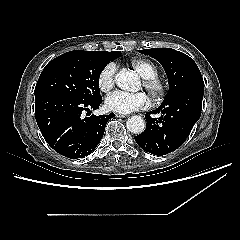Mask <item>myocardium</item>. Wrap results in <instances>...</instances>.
<instances>
[{"instance_id": "1", "label": "myocardium", "mask_w": 240, "mask_h": 240, "mask_svg": "<svg viewBox=\"0 0 240 240\" xmlns=\"http://www.w3.org/2000/svg\"><path fill=\"white\" fill-rule=\"evenodd\" d=\"M143 86L153 100L161 98L166 92V85L157 75L143 78Z\"/></svg>"}]
</instances>
